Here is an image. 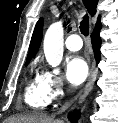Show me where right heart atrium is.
<instances>
[{"instance_id": "d8ad5b80", "label": "right heart atrium", "mask_w": 118, "mask_h": 123, "mask_svg": "<svg viewBox=\"0 0 118 123\" xmlns=\"http://www.w3.org/2000/svg\"><path fill=\"white\" fill-rule=\"evenodd\" d=\"M40 80L51 102H57L65 96L63 79L48 69H42Z\"/></svg>"}]
</instances>
